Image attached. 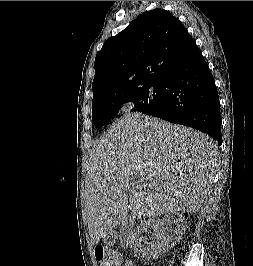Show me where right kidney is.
Wrapping results in <instances>:
<instances>
[{
    "instance_id": "obj_1",
    "label": "right kidney",
    "mask_w": 253,
    "mask_h": 266,
    "mask_svg": "<svg viewBox=\"0 0 253 266\" xmlns=\"http://www.w3.org/2000/svg\"><path fill=\"white\" fill-rule=\"evenodd\" d=\"M186 228L187 221L181 215L144 220L130 234L129 245L138 258H158L176 244Z\"/></svg>"
}]
</instances>
